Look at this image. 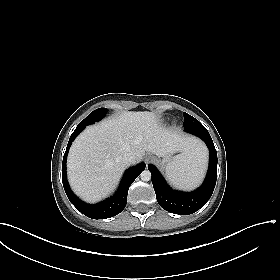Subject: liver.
Returning a JSON list of instances; mask_svg holds the SVG:
<instances>
[{"instance_id": "obj_1", "label": "liver", "mask_w": 280, "mask_h": 280, "mask_svg": "<svg viewBox=\"0 0 280 280\" xmlns=\"http://www.w3.org/2000/svg\"><path fill=\"white\" fill-rule=\"evenodd\" d=\"M205 150L199 140L159 124L152 112H124L87 127L73 142L67 160L69 183L84 200L94 202L114 189L131 153L139 162L145 152L158 157L181 152L192 156Z\"/></svg>"}]
</instances>
